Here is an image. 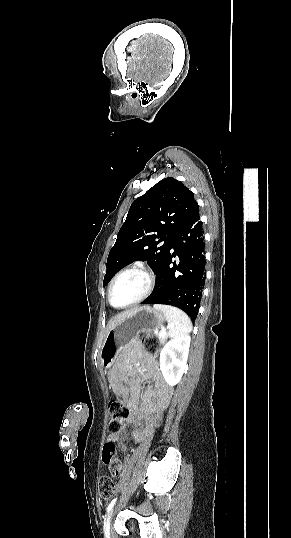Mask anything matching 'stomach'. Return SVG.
Instances as JSON below:
<instances>
[{
  "label": "stomach",
  "mask_w": 291,
  "mask_h": 538,
  "mask_svg": "<svg viewBox=\"0 0 291 538\" xmlns=\"http://www.w3.org/2000/svg\"><path fill=\"white\" fill-rule=\"evenodd\" d=\"M165 315L149 306L134 310L116 324L106 335L100 351L101 365L107 369L109 363H119V352L132 344L140 332H152L163 327Z\"/></svg>",
  "instance_id": "stomach-1"
}]
</instances>
